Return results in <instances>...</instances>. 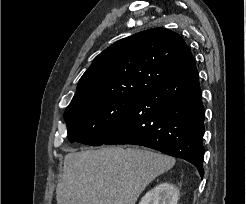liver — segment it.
Returning <instances> with one entry per match:
<instances>
[{
    "label": "liver",
    "instance_id": "6515ba94",
    "mask_svg": "<svg viewBox=\"0 0 246 204\" xmlns=\"http://www.w3.org/2000/svg\"><path fill=\"white\" fill-rule=\"evenodd\" d=\"M174 164L173 157L134 147L68 153L57 204H135L145 187Z\"/></svg>",
    "mask_w": 246,
    "mask_h": 204
}]
</instances>
